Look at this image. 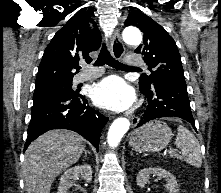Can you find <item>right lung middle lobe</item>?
<instances>
[{
    "instance_id": "right-lung-middle-lobe-1",
    "label": "right lung middle lobe",
    "mask_w": 221,
    "mask_h": 193,
    "mask_svg": "<svg viewBox=\"0 0 221 193\" xmlns=\"http://www.w3.org/2000/svg\"><path fill=\"white\" fill-rule=\"evenodd\" d=\"M71 87H72L71 81L36 86L33 99L49 95H64V96L76 95V93L73 91Z\"/></svg>"
}]
</instances>
